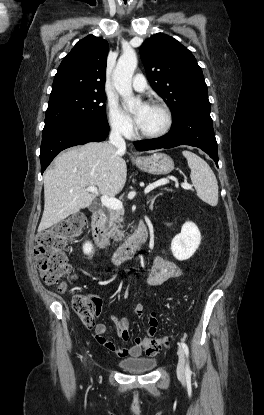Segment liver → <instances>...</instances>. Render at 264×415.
I'll return each instance as SVG.
<instances>
[{
  "label": "liver",
  "instance_id": "obj_1",
  "mask_svg": "<svg viewBox=\"0 0 264 415\" xmlns=\"http://www.w3.org/2000/svg\"><path fill=\"white\" fill-rule=\"evenodd\" d=\"M124 153L107 142H91L58 155L44 173L45 203L38 231L90 206L98 194H118L127 176ZM90 186H97L98 193L87 191Z\"/></svg>",
  "mask_w": 264,
  "mask_h": 415
}]
</instances>
